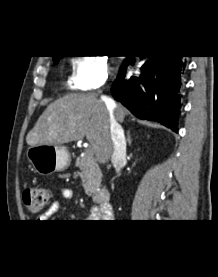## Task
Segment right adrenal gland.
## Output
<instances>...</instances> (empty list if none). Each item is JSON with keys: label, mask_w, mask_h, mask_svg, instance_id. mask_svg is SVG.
<instances>
[{"label": "right adrenal gland", "mask_w": 218, "mask_h": 277, "mask_svg": "<svg viewBox=\"0 0 218 277\" xmlns=\"http://www.w3.org/2000/svg\"><path fill=\"white\" fill-rule=\"evenodd\" d=\"M127 141H128V144L131 145L132 139H131L130 131H128L127 133Z\"/></svg>", "instance_id": "obj_1"}]
</instances>
